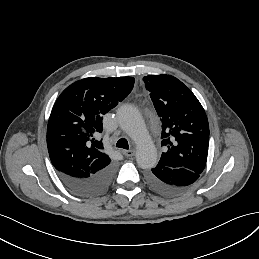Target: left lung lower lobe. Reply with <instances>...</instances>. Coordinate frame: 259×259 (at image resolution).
<instances>
[{
    "mask_svg": "<svg viewBox=\"0 0 259 259\" xmlns=\"http://www.w3.org/2000/svg\"><path fill=\"white\" fill-rule=\"evenodd\" d=\"M200 174L185 168H155L147 174L148 184L165 195H179L186 192Z\"/></svg>",
    "mask_w": 259,
    "mask_h": 259,
    "instance_id": "1",
    "label": "left lung lower lobe"
}]
</instances>
